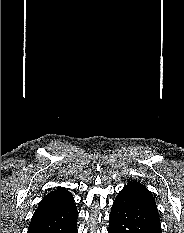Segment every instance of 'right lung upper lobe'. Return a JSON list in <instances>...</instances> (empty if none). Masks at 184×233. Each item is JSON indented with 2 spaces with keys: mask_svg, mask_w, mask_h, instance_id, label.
Here are the masks:
<instances>
[{
  "mask_svg": "<svg viewBox=\"0 0 184 233\" xmlns=\"http://www.w3.org/2000/svg\"><path fill=\"white\" fill-rule=\"evenodd\" d=\"M74 198L70 192L64 188H58L57 190L48 193L40 202L36 209L35 215H40L54 210L74 206Z\"/></svg>",
  "mask_w": 184,
  "mask_h": 233,
  "instance_id": "obj_1",
  "label": "right lung upper lobe"
}]
</instances>
